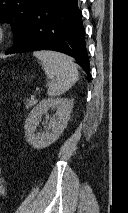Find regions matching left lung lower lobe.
Here are the masks:
<instances>
[{
    "instance_id": "1",
    "label": "left lung lower lobe",
    "mask_w": 128,
    "mask_h": 213,
    "mask_svg": "<svg viewBox=\"0 0 128 213\" xmlns=\"http://www.w3.org/2000/svg\"><path fill=\"white\" fill-rule=\"evenodd\" d=\"M53 50L78 60L90 75L85 30L78 0H38L6 54Z\"/></svg>"
}]
</instances>
